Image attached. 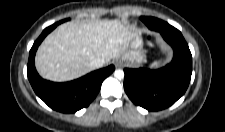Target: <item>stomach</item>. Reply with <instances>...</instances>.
Masks as SVG:
<instances>
[{
    "label": "stomach",
    "mask_w": 225,
    "mask_h": 132,
    "mask_svg": "<svg viewBox=\"0 0 225 132\" xmlns=\"http://www.w3.org/2000/svg\"><path fill=\"white\" fill-rule=\"evenodd\" d=\"M120 60L129 67H137L146 61L143 41L139 35L132 40L129 49L121 55Z\"/></svg>",
    "instance_id": "0dacf381"
}]
</instances>
